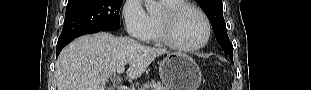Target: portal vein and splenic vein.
Listing matches in <instances>:
<instances>
[{"mask_svg":"<svg viewBox=\"0 0 311 90\" xmlns=\"http://www.w3.org/2000/svg\"><path fill=\"white\" fill-rule=\"evenodd\" d=\"M125 71V67H120L117 69V74H122Z\"/></svg>","mask_w":311,"mask_h":90,"instance_id":"1","label":"portal vein and splenic vein"}]
</instances>
